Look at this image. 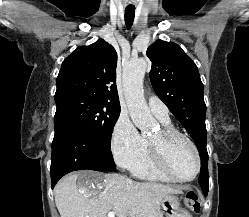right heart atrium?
Wrapping results in <instances>:
<instances>
[{
    "mask_svg": "<svg viewBox=\"0 0 249 217\" xmlns=\"http://www.w3.org/2000/svg\"><path fill=\"white\" fill-rule=\"evenodd\" d=\"M146 141L136 130L131 120L120 115L111 134V149L118 165L130 168L140 157Z\"/></svg>",
    "mask_w": 249,
    "mask_h": 217,
    "instance_id": "right-heart-atrium-1",
    "label": "right heart atrium"
}]
</instances>
